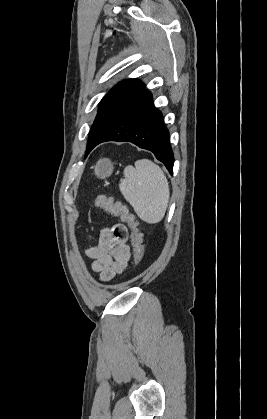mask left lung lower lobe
Instances as JSON below:
<instances>
[{
    "mask_svg": "<svg viewBox=\"0 0 267 419\" xmlns=\"http://www.w3.org/2000/svg\"><path fill=\"white\" fill-rule=\"evenodd\" d=\"M113 126L102 138L86 150V155L98 144L106 141L131 142L151 151L172 174L174 156L169 132L161 112L154 107L152 94L143 89L124 110L114 112Z\"/></svg>",
    "mask_w": 267,
    "mask_h": 419,
    "instance_id": "1",
    "label": "left lung lower lobe"
}]
</instances>
